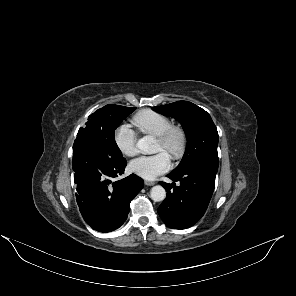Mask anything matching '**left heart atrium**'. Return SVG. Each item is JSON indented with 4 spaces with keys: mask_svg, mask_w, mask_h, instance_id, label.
<instances>
[{
    "mask_svg": "<svg viewBox=\"0 0 296 296\" xmlns=\"http://www.w3.org/2000/svg\"><path fill=\"white\" fill-rule=\"evenodd\" d=\"M171 165L169 155L164 151L150 156H141L130 162V169L136 175L145 179H154L166 172Z\"/></svg>",
    "mask_w": 296,
    "mask_h": 296,
    "instance_id": "left-heart-atrium-1",
    "label": "left heart atrium"
}]
</instances>
